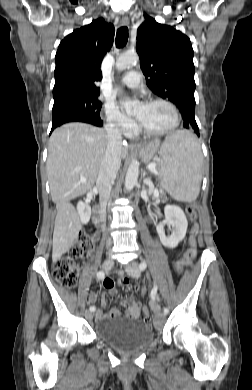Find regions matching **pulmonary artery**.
Returning a JSON list of instances; mask_svg holds the SVG:
<instances>
[{
	"mask_svg": "<svg viewBox=\"0 0 252 390\" xmlns=\"http://www.w3.org/2000/svg\"><path fill=\"white\" fill-rule=\"evenodd\" d=\"M122 84L128 88H137L141 82V76L138 71H130L122 77Z\"/></svg>",
	"mask_w": 252,
	"mask_h": 390,
	"instance_id": "obj_1",
	"label": "pulmonary artery"
}]
</instances>
